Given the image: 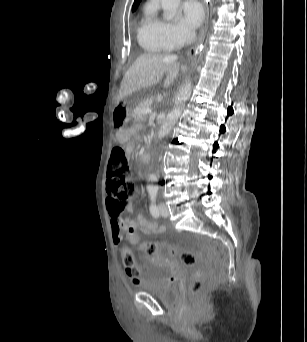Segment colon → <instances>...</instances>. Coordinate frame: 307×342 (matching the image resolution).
<instances>
[{"label": "colon", "instance_id": "obj_1", "mask_svg": "<svg viewBox=\"0 0 307 342\" xmlns=\"http://www.w3.org/2000/svg\"><path fill=\"white\" fill-rule=\"evenodd\" d=\"M128 170L129 165L124 150L120 146L114 147L109 161L107 192L108 197L111 198L109 210L113 215L118 216V219L128 210L129 199L135 192L134 183L126 176ZM126 231L130 242H137L138 237L134 226H127ZM137 248L150 255L157 254L159 250L157 243L139 244ZM170 251L173 257H180L185 268H192L190 269L191 281H187V288H191V294H188L187 299L189 307H198L197 295H200V288L203 283H206L205 269L203 266H199V262L191 252L181 251L180 246H172ZM122 253L125 254L123 261L127 277L134 285H139L141 283L140 272L135 267V258L131 254V248L123 247Z\"/></svg>", "mask_w": 307, "mask_h": 342}]
</instances>
